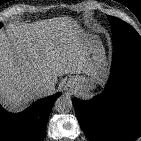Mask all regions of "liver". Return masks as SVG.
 <instances>
[{"mask_svg": "<svg viewBox=\"0 0 141 141\" xmlns=\"http://www.w3.org/2000/svg\"><path fill=\"white\" fill-rule=\"evenodd\" d=\"M77 22L60 17L28 27L0 31V99L19 109L41 97L35 85L43 79L56 83L66 74L94 77L104 63V49L88 47Z\"/></svg>", "mask_w": 141, "mask_h": 141, "instance_id": "obj_1", "label": "liver"}]
</instances>
